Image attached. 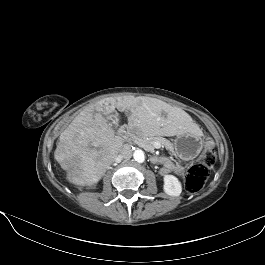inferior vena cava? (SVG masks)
Listing matches in <instances>:
<instances>
[{"label":"inferior vena cava","mask_w":265,"mask_h":265,"mask_svg":"<svg viewBox=\"0 0 265 265\" xmlns=\"http://www.w3.org/2000/svg\"><path fill=\"white\" fill-rule=\"evenodd\" d=\"M120 157L124 159H129L132 157V149L130 145L125 144L122 146L120 151Z\"/></svg>","instance_id":"602c4592"}]
</instances>
